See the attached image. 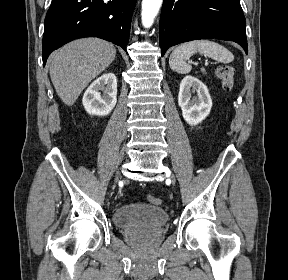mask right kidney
<instances>
[{"label":"right kidney","instance_id":"obj_1","mask_svg":"<svg viewBox=\"0 0 288 280\" xmlns=\"http://www.w3.org/2000/svg\"><path fill=\"white\" fill-rule=\"evenodd\" d=\"M100 91H103L101 94ZM117 102V79L113 73L97 78L85 91L82 103L90 115L105 116Z\"/></svg>","mask_w":288,"mask_h":280}]
</instances>
